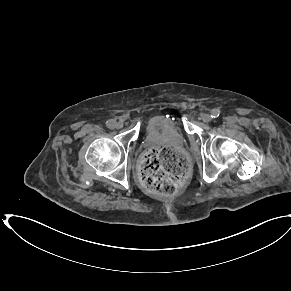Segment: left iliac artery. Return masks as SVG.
<instances>
[{
    "label": "left iliac artery",
    "mask_w": 291,
    "mask_h": 291,
    "mask_svg": "<svg viewBox=\"0 0 291 291\" xmlns=\"http://www.w3.org/2000/svg\"><path fill=\"white\" fill-rule=\"evenodd\" d=\"M220 115V110L218 109H213L211 112V117L212 118H217Z\"/></svg>",
    "instance_id": "left-iliac-artery-1"
}]
</instances>
